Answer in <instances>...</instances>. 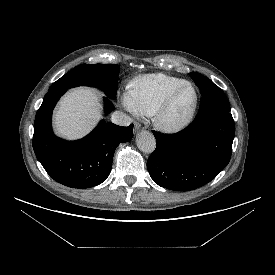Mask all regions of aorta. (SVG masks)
Listing matches in <instances>:
<instances>
[{"label":"aorta","instance_id":"obj_1","mask_svg":"<svg viewBox=\"0 0 275 275\" xmlns=\"http://www.w3.org/2000/svg\"><path fill=\"white\" fill-rule=\"evenodd\" d=\"M137 147L144 153H152L156 148V140L149 131H142L136 137Z\"/></svg>","mask_w":275,"mask_h":275}]
</instances>
